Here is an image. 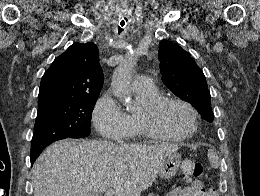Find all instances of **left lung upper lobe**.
<instances>
[{
  "label": "left lung upper lobe",
  "mask_w": 260,
  "mask_h": 196,
  "mask_svg": "<svg viewBox=\"0 0 260 196\" xmlns=\"http://www.w3.org/2000/svg\"><path fill=\"white\" fill-rule=\"evenodd\" d=\"M159 46L160 69L165 86L192 104L205 120L213 122L211 97L202 70L178 44L163 40Z\"/></svg>",
  "instance_id": "left-lung-upper-lobe-1"
}]
</instances>
